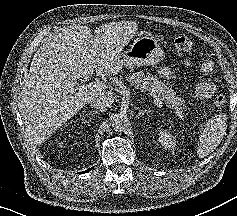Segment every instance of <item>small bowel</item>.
Wrapping results in <instances>:
<instances>
[{"mask_svg":"<svg viewBox=\"0 0 237 216\" xmlns=\"http://www.w3.org/2000/svg\"><path fill=\"white\" fill-rule=\"evenodd\" d=\"M188 63V62H186ZM213 71V62L205 60L201 65V73L203 80L196 86V95L200 98H209L215 91L214 84L210 80L211 72ZM159 75L164 79L174 78V73L167 67L162 66L158 69Z\"/></svg>","mask_w":237,"mask_h":216,"instance_id":"obj_1","label":"small bowel"}]
</instances>
